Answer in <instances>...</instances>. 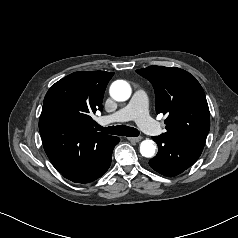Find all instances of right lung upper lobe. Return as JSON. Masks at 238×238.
<instances>
[{
	"label": "right lung upper lobe",
	"mask_w": 238,
	"mask_h": 238,
	"mask_svg": "<svg viewBox=\"0 0 238 238\" xmlns=\"http://www.w3.org/2000/svg\"><path fill=\"white\" fill-rule=\"evenodd\" d=\"M113 72L72 73L48 90L39 119L44 150L62 173L84 164L109 135L96 132L91 114L102 111Z\"/></svg>",
	"instance_id": "right-lung-upper-lobe-1"
}]
</instances>
